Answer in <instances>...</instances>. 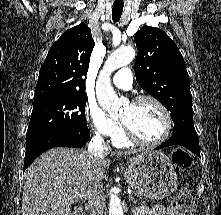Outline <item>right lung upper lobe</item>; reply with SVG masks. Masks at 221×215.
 I'll return each instance as SVG.
<instances>
[{
  "instance_id": "right-lung-upper-lobe-1",
  "label": "right lung upper lobe",
  "mask_w": 221,
  "mask_h": 215,
  "mask_svg": "<svg viewBox=\"0 0 221 215\" xmlns=\"http://www.w3.org/2000/svg\"><path fill=\"white\" fill-rule=\"evenodd\" d=\"M94 45L91 30L84 23L64 32L41 66L34 101L55 95L86 94L84 77Z\"/></svg>"
}]
</instances>
